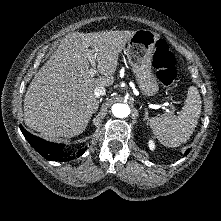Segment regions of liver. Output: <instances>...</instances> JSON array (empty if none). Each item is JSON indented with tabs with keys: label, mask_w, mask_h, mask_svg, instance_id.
<instances>
[{
	"label": "liver",
	"mask_w": 221,
	"mask_h": 221,
	"mask_svg": "<svg viewBox=\"0 0 221 221\" xmlns=\"http://www.w3.org/2000/svg\"><path fill=\"white\" fill-rule=\"evenodd\" d=\"M136 31L71 32L35 74L24 98L25 124L48 138L81 134L99 106L96 87H109L119 54ZM89 47L95 53L97 70L89 74Z\"/></svg>",
	"instance_id": "6515ba94"
}]
</instances>
